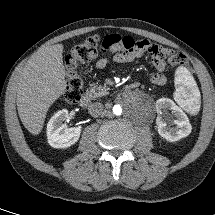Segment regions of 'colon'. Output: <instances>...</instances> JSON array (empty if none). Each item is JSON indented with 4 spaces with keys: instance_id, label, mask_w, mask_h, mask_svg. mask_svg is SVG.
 Listing matches in <instances>:
<instances>
[{
    "instance_id": "5ec220e1",
    "label": "colon",
    "mask_w": 215,
    "mask_h": 215,
    "mask_svg": "<svg viewBox=\"0 0 215 215\" xmlns=\"http://www.w3.org/2000/svg\"><path fill=\"white\" fill-rule=\"evenodd\" d=\"M103 50V41L98 35L88 37L84 41L76 44L65 58L67 71L66 91L64 100L66 103H76L83 94V78L79 71L81 64L92 60ZM169 62L175 66H185L187 57L180 52L164 50Z\"/></svg>"
}]
</instances>
